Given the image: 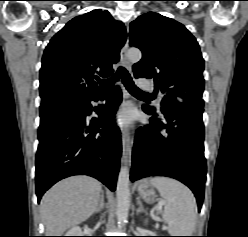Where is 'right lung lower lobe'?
<instances>
[{
    "label": "right lung lower lobe",
    "instance_id": "right-lung-lower-lobe-1",
    "mask_svg": "<svg viewBox=\"0 0 248 237\" xmlns=\"http://www.w3.org/2000/svg\"><path fill=\"white\" fill-rule=\"evenodd\" d=\"M99 92L78 101L40 106L39 146L36 154V194L38 202L46 190L72 175H89L116 188L122 152L120 131L113 122L122 93L116 87L98 118L86 121L92 100Z\"/></svg>",
    "mask_w": 248,
    "mask_h": 237
}]
</instances>
